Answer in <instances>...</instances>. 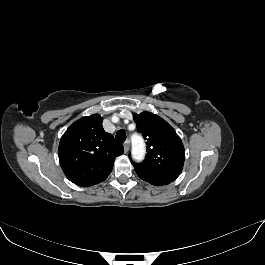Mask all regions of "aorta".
Wrapping results in <instances>:
<instances>
[{
	"label": "aorta",
	"mask_w": 265,
	"mask_h": 265,
	"mask_svg": "<svg viewBox=\"0 0 265 265\" xmlns=\"http://www.w3.org/2000/svg\"><path fill=\"white\" fill-rule=\"evenodd\" d=\"M145 143L140 135L132 136V157L136 161L143 160L145 156Z\"/></svg>",
	"instance_id": "aorta-1"
}]
</instances>
